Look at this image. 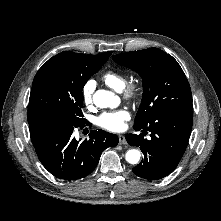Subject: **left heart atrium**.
Segmentation results:
<instances>
[{
	"label": "left heart atrium",
	"mask_w": 221,
	"mask_h": 221,
	"mask_svg": "<svg viewBox=\"0 0 221 221\" xmlns=\"http://www.w3.org/2000/svg\"><path fill=\"white\" fill-rule=\"evenodd\" d=\"M130 114L125 109L104 112L97 118V124L108 131L118 132L124 129Z\"/></svg>",
	"instance_id": "39dd6f15"
}]
</instances>
